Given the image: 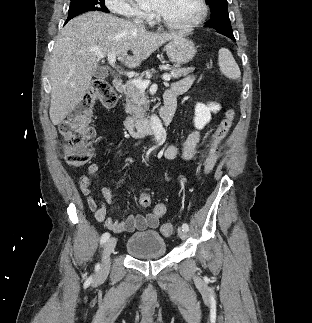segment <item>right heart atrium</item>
Returning a JSON list of instances; mask_svg holds the SVG:
<instances>
[{
  "instance_id": "right-heart-atrium-1",
  "label": "right heart atrium",
  "mask_w": 312,
  "mask_h": 323,
  "mask_svg": "<svg viewBox=\"0 0 312 323\" xmlns=\"http://www.w3.org/2000/svg\"><path fill=\"white\" fill-rule=\"evenodd\" d=\"M108 13H121V17H126V22H142L145 17V10L142 6H135V2L126 0H106Z\"/></svg>"
}]
</instances>
